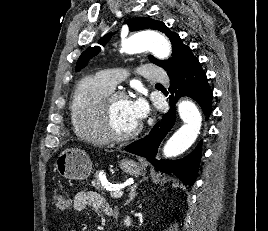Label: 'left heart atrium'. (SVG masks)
<instances>
[{"mask_svg": "<svg viewBox=\"0 0 268 231\" xmlns=\"http://www.w3.org/2000/svg\"><path fill=\"white\" fill-rule=\"evenodd\" d=\"M131 106L137 119L139 121H142L146 117L148 112L146 102L142 98H137L131 101Z\"/></svg>", "mask_w": 268, "mask_h": 231, "instance_id": "39dd6f15", "label": "left heart atrium"}]
</instances>
